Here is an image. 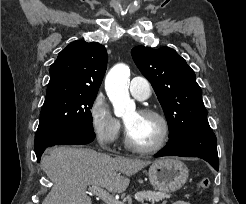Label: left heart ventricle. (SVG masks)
<instances>
[{
	"label": "left heart ventricle",
	"instance_id": "b2bd125f",
	"mask_svg": "<svg viewBox=\"0 0 246 204\" xmlns=\"http://www.w3.org/2000/svg\"><path fill=\"white\" fill-rule=\"evenodd\" d=\"M125 122L132 142L139 146H151L161 136V123L153 116L133 111L125 117Z\"/></svg>",
	"mask_w": 246,
	"mask_h": 204
}]
</instances>
